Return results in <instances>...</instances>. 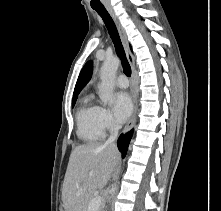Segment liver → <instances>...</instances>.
<instances>
[{
	"instance_id": "6515ba94",
	"label": "liver",
	"mask_w": 221,
	"mask_h": 211,
	"mask_svg": "<svg viewBox=\"0 0 221 211\" xmlns=\"http://www.w3.org/2000/svg\"><path fill=\"white\" fill-rule=\"evenodd\" d=\"M119 160L117 148L102 143L74 147L62 188L64 211H85L86 200L104 188Z\"/></svg>"
}]
</instances>
